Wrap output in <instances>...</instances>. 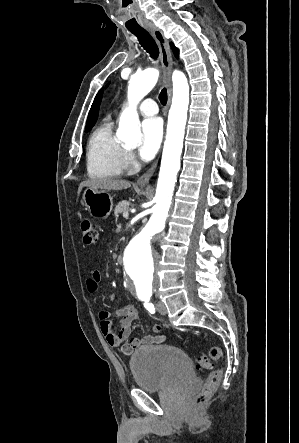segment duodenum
I'll use <instances>...</instances> for the list:
<instances>
[{
	"instance_id": "410a0bca",
	"label": "duodenum",
	"mask_w": 299,
	"mask_h": 443,
	"mask_svg": "<svg viewBox=\"0 0 299 443\" xmlns=\"http://www.w3.org/2000/svg\"><path fill=\"white\" fill-rule=\"evenodd\" d=\"M116 262H117V264H122V257L121 256H117L116 257Z\"/></svg>"
}]
</instances>
